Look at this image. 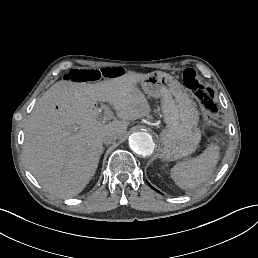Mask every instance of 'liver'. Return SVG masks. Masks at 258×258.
<instances>
[{
  "label": "liver",
  "mask_w": 258,
  "mask_h": 258,
  "mask_svg": "<svg viewBox=\"0 0 258 258\" xmlns=\"http://www.w3.org/2000/svg\"><path fill=\"white\" fill-rule=\"evenodd\" d=\"M150 74L128 73L98 84L59 81L46 91L26 121L23 144L24 162L45 190L70 198L83 189L97 167L103 133L125 135L130 120L149 114L134 85ZM97 100L108 102L122 121L101 126Z\"/></svg>",
  "instance_id": "obj_1"
}]
</instances>
